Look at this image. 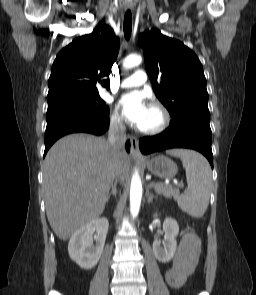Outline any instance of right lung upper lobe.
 <instances>
[{
	"mask_svg": "<svg viewBox=\"0 0 256 295\" xmlns=\"http://www.w3.org/2000/svg\"><path fill=\"white\" fill-rule=\"evenodd\" d=\"M119 51V38L100 22L91 34L76 38L57 55L48 81L47 100L67 94H99L96 83L109 88L108 80Z\"/></svg>",
	"mask_w": 256,
	"mask_h": 295,
	"instance_id": "obj_1",
	"label": "right lung upper lobe"
}]
</instances>
